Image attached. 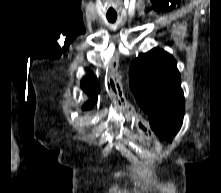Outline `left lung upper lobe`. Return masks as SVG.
<instances>
[{
	"mask_svg": "<svg viewBox=\"0 0 221 193\" xmlns=\"http://www.w3.org/2000/svg\"><path fill=\"white\" fill-rule=\"evenodd\" d=\"M129 75L131 90L148 114L152 130L169 141L179 131L184 116L185 100L176 61L166 51L154 48L132 62Z\"/></svg>",
	"mask_w": 221,
	"mask_h": 193,
	"instance_id": "5c2ea615",
	"label": "left lung upper lobe"
}]
</instances>
